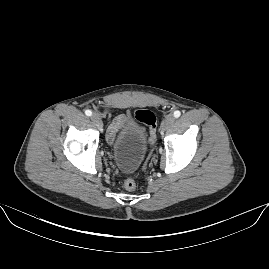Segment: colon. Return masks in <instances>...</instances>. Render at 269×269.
Listing matches in <instances>:
<instances>
[{
	"label": "colon",
	"instance_id": "colon-1",
	"mask_svg": "<svg viewBox=\"0 0 269 269\" xmlns=\"http://www.w3.org/2000/svg\"><path fill=\"white\" fill-rule=\"evenodd\" d=\"M134 119L145 125L148 133L146 140L150 145H154L156 142V133H157V117L156 115L147 108H137L134 111ZM124 188L127 191H134L137 187L135 179L127 178L123 183Z\"/></svg>",
	"mask_w": 269,
	"mask_h": 269
}]
</instances>
